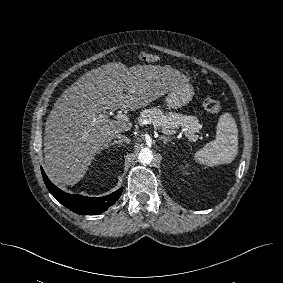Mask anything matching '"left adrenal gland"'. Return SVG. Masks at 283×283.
Returning a JSON list of instances; mask_svg holds the SVG:
<instances>
[{
  "label": "left adrenal gland",
  "mask_w": 283,
  "mask_h": 283,
  "mask_svg": "<svg viewBox=\"0 0 283 283\" xmlns=\"http://www.w3.org/2000/svg\"><path fill=\"white\" fill-rule=\"evenodd\" d=\"M159 140H163V143L164 144H167V142H170L171 141V138L169 136H160L159 137Z\"/></svg>",
  "instance_id": "left-adrenal-gland-1"
}]
</instances>
